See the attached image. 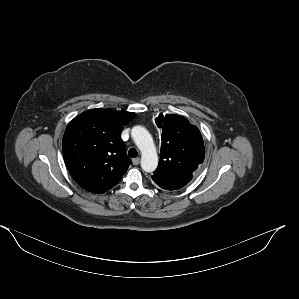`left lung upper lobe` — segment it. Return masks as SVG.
Returning a JSON list of instances; mask_svg holds the SVG:
<instances>
[{
    "instance_id": "left-lung-upper-lobe-1",
    "label": "left lung upper lobe",
    "mask_w": 299,
    "mask_h": 299,
    "mask_svg": "<svg viewBox=\"0 0 299 299\" xmlns=\"http://www.w3.org/2000/svg\"><path fill=\"white\" fill-rule=\"evenodd\" d=\"M162 128L160 160L154 175H193L204 161L205 148L199 129L183 116L160 114Z\"/></svg>"
}]
</instances>
